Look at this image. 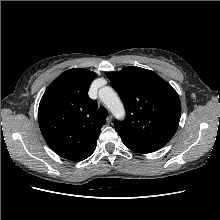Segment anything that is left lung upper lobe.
<instances>
[{
	"mask_svg": "<svg viewBox=\"0 0 220 220\" xmlns=\"http://www.w3.org/2000/svg\"><path fill=\"white\" fill-rule=\"evenodd\" d=\"M106 75L126 109V119L114 123L124 145L137 153H151L167 144L181 117L180 99L173 87L140 67Z\"/></svg>",
	"mask_w": 220,
	"mask_h": 220,
	"instance_id": "1",
	"label": "left lung upper lobe"
}]
</instances>
